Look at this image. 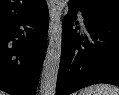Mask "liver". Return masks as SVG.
<instances>
[{
  "label": "liver",
  "instance_id": "obj_1",
  "mask_svg": "<svg viewBox=\"0 0 119 95\" xmlns=\"http://www.w3.org/2000/svg\"><path fill=\"white\" fill-rule=\"evenodd\" d=\"M0 95H6L5 92L0 91Z\"/></svg>",
  "mask_w": 119,
  "mask_h": 95
}]
</instances>
